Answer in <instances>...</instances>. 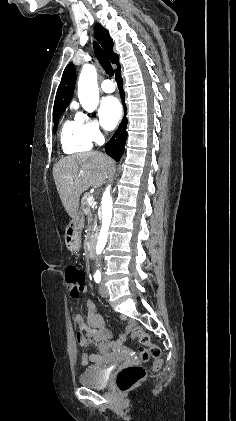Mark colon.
<instances>
[{
	"label": "colon",
	"mask_w": 236,
	"mask_h": 421,
	"mask_svg": "<svg viewBox=\"0 0 236 421\" xmlns=\"http://www.w3.org/2000/svg\"><path fill=\"white\" fill-rule=\"evenodd\" d=\"M66 281L73 298H78L84 292L85 273L76 266H69L66 269ZM134 338L144 346L140 350V358L148 361L150 358L155 359V368L161 365V349L150 342L149 335L139 327L132 329ZM146 377V370L141 365H130L121 369L116 377V384L120 391L128 392L134 388L139 382Z\"/></svg>",
	"instance_id": "1"
}]
</instances>
